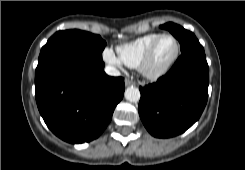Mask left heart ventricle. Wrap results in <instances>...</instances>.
Returning a JSON list of instances; mask_svg holds the SVG:
<instances>
[{"mask_svg":"<svg viewBox=\"0 0 245 170\" xmlns=\"http://www.w3.org/2000/svg\"><path fill=\"white\" fill-rule=\"evenodd\" d=\"M173 51V41L168 37L163 38L157 45V48L151 61V67L157 68L163 65L171 57Z\"/></svg>","mask_w":245,"mask_h":170,"instance_id":"obj_1","label":"left heart ventricle"}]
</instances>
